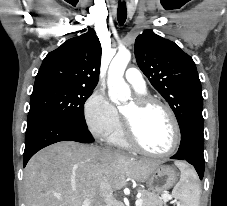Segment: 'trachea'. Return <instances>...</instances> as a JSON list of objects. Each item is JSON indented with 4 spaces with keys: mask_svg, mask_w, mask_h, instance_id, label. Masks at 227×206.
I'll list each match as a JSON object with an SVG mask.
<instances>
[{
    "mask_svg": "<svg viewBox=\"0 0 227 206\" xmlns=\"http://www.w3.org/2000/svg\"><path fill=\"white\" fill-rule=\"evenodd\" d=\"M127 18V9H126V3L125 2H119L118 3V9H117V19L120 25H123Z\"/></svg>",
    "mask_w": 227,
    "mask_h": 206,
    "instance_id": "obj_1",
    "label": "trachea"
}]
</instances>
